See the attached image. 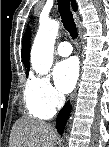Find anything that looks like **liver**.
<instances>
[{
    "label": "liver",
    "mask_w": 109,
    "mask_h": 147,
    "mask_svg": "<svg viewBox=\"0 0 109 147\" xmlns=\"http://www.w3.org/2000/svg\"><path fill=\"white\" fill-rule=\"evenodd\" d=\"M57 139V132L50 124L22 117L12 127L9 147H55Z\"/></svg>",
    "instance_id": "6515ba94"
}]
</instances>
